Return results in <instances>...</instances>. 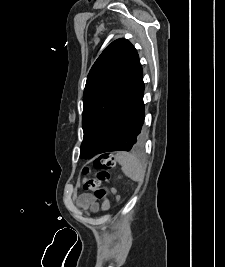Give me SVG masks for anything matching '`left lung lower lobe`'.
I'll list each match as a JSON object with an SVG mask.
<instances>
[{
	"label": "left lung lower lobe",
	"instance_id": "left-lung-lower-lobe-1",
	"mask_svg": "<svg viewBox=\"0 0 225 267\" xmlns=\"http://www.w3.org/2000/svg\"><path fill=\"white\" fill-rule=\"evenodd\" d=\"M143 94V71L139 64L121 101L113 130L100 153L130 151L137 146L145 119Z\"/></svg>",
	"mask_w": 225,
	"mask_h": 267
}]
</instances>
